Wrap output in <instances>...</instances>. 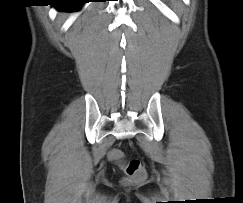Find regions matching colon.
<instances>
[{
    "label": "colon",
    "mask_w": 243,
    "mask_h": 203,
    "mask_svg": "<svg viewBox=\"0 0 243 203\" xmlns=\"http://www.w3.org/2000/svg\"><path fill=\"white\" fill-rule=\"evenodd\" d=\"M112 161L116 162L125 174V182L135 184L141 182L145 176V170L138 159H133L128 162L123 161V154L120 150L114 149L109 153Z\"/></svg>",
    "instance_id": "obj_1"
}]
</instances>
